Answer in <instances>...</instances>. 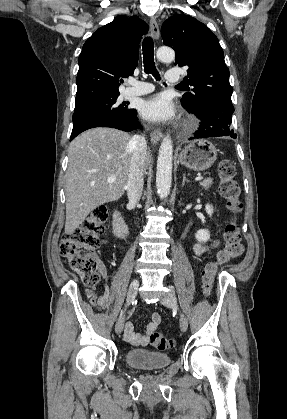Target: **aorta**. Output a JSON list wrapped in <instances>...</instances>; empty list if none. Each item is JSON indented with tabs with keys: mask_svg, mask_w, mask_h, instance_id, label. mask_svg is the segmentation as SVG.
<instances>
[{
	"mask_svg": "<svg viewBox=\"0 0 287 419\" xmlns=\"http://www.w3.org/2000/svg\"><path fill=\"white\" fill-rule=\"evenodd\" d=\"M156 56L159 60L170 62L175 58V52L169 47H160ZM172 158L173 144L171 137L167 134L161 142L157 160L156 187L160 198L164 199L169 195L172 183Z\"/></svg>",
	"mask_w": 287,
	"mask_h": 419,
	"instance_id": "1",
	"label": "aorta"
}]
</instances>
